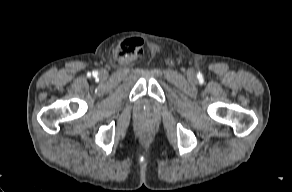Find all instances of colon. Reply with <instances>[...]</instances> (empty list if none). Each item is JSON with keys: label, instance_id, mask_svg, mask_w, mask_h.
I'll use <instances>...</instances> for the list:
<instances>
[{"label": "colon", "instance_id": "1", "mask_svg": "<svg viewBox=\"0 0 292 192\" xmlns=\"http://www.w3.org/2000/svg\"><path fill=\"white\" fill-rule=\"evenodd\" d=\"M141 48V42L139 40H129L126 41L124 44L121 45L119 54H134L138 53Z\"/></svg>", "mask_w": 292, "mask_h": 192}]
</instances>
